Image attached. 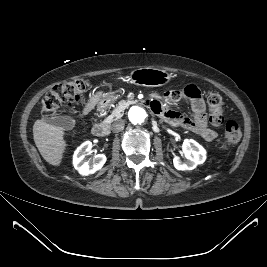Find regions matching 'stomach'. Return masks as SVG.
<instances>
[{"label": "stomach", "mask_w": 267, "mask_h": 267, "mask_svg": "<svg viewBox=\"0 0 267 267\" xmlns=\"http://www.w3.org/2000/svg\"><path fill=\"white\" fill-rule=\"evenodd\" d=\"M173 74L160 69L154 68H138L130 72V82L139 86L158 87L169 82L173 78ZM117 98L114 92H108L101 95L97 102L98 110L107 107Z\"/></svg>", "instance_id": "stomach-1"}]
</instances>
